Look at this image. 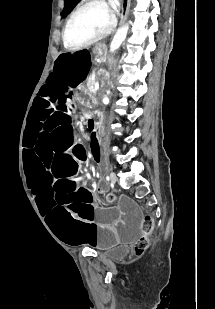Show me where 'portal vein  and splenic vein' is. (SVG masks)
<instances>
[{"instance_id":"18ae733b","label":"portal vein and splenic vein","mask_w":215,"mask_h":309,"mask_svg":"<svg viewBox=\"0 0 215 309\" xmlns=\"http://www.w3.org/2000/svg\"><path fill=\"white\" fill-rule=\"evenodd\" d=\"M95 88H99V84H95Z\"/></svg>"}]
</instances>
